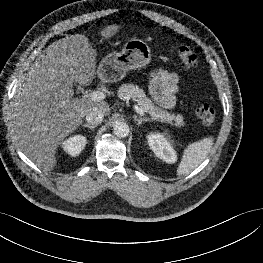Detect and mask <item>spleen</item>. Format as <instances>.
Instances as JSON below:
<instances>
[{"mask_svg":"<svg viewBox=\"0 0 263 263\" xmlns=\"http://www.w3.org/2000/svg\"><path fill=\"white\" fill-rule=\"evenodd\" d=\"M212 146V137L189 144L184 150L182 159L178 165L177 175H186L196 169L207 158Z\"/></svg>","mask_w":263,"mask_h":263,"instance_id":"spleen-1","label":"spleen"}]
</instances>
